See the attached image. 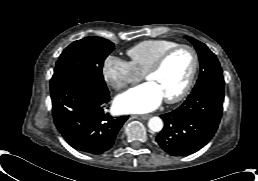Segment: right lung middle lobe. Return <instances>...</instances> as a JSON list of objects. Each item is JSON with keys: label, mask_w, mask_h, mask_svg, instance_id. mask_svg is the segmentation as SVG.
Instances as JSON below:
<instances>
[{"label": "right lung middle lobe", "mask_w": 258, "mask_h": 181, "mask_svg": "<svg viewBox=\"0 0 258 181\" xmlns=\"http://www.w3.org/2000/svg\"><path fill=\"white\" fill-rule=\"evenodd\" d=\"M114 44L101 37H86L70 44L60 55L55 75L70 77L94 92L108 94L102 75L104 60Z\"/></svg>", "instance_id": "dd1d6c3e"}]
</instances>
